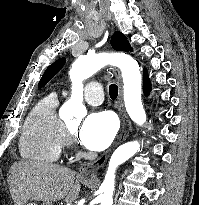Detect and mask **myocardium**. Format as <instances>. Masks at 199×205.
<instances>
[{"mask_svg":"<svg viewBox=\"0 0 199 205\" xmlns=\"http://www.w3.org/2000/svg\"><path fill=\"white\" fill-rule=\"evenodd\" d=\"M64 133H65V142L71 141L73 132L67 126H64Z\"/></svg>","mask_w":199,"mask_h":205,"instance_id":"obj_1","label":"myocardium"}]
</instances>
